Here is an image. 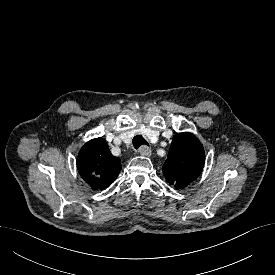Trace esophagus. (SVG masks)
<instances>
[{"instance_id": "esophagus-1", "label": "esophagus", "mask_w": 275, "mask_h": 275, "mask_svg": "<svg viewBox=\"0 0 275 275\" xmlns=\"http://www.w3.org/2000/svg\"><path fill=\"white\" fill-rule=\"evenodd\" d=\"M138 152L141 156L149 157L151 155V148L146 145H143L140 147Z\"/></svg>"}]
</instances>
